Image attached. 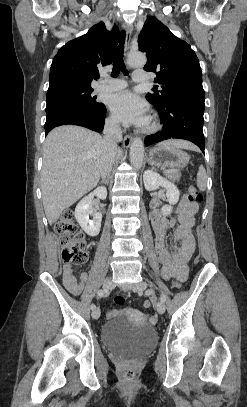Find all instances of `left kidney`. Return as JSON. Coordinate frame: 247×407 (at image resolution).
<instances>
[{"label": "left kidney", "instance_id": "obj_1", "mask_svg": "<svg viewBox=\"0 0 247 407\" xmlns=\"http://www.w3.org/2000/svg\"><path fill=\"white\" fill-rule=\"evenodd\" d=\"M144 186L147 191H154L160 186L166 189V197L169 205H165L161 209L163 216H168L172 212V205H175L180 196V192L174 183L160 176L152 170H146L143 175Z\"/></svg>", "mask_w": 247, "mask_h": 407}]
</instances>
